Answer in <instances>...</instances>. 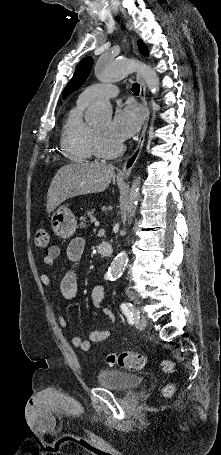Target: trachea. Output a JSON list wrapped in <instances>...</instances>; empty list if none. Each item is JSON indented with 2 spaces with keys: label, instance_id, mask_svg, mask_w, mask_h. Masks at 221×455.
I'll return each mask as SVG.
<instances>
[{
  "label": "trachea",
  "instance_id": "obj_1",
  "mask_svg": "<svg viewBox=\"0 0 221 455\" xmlns=\"http://www.w3.org/2000/svg\"><path fill=\"white\" fill-rule=\"evenodd\" d=\"M132 91L135 95H138L139 94V91H140V86L138 83H134L132 85Z\"/></svg>",
  "mask_w": 221,
  "mask_h": 455
}]
</instances>
